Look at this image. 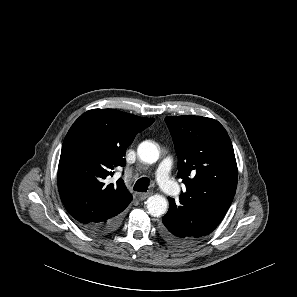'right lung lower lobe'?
I'll list each match as a JSON object with an SVG mask.
<instances>
[{"mask_svg":"<svg viewBox=\"0 0 297 297\" xmlns=\"http://www.w3.org/2000/svg\"><path fill=\"white\" fill-rule=\"evenodd\" d=\"M122 220V213H117L107 217L102 222L92 223L81 226L84 231L93 235H106L110 234L120 226Z\"/></svg>","mask_w":297,"mask_h":297,"instance_id":"right-lung-lower-lobe-1","label":"right lung lower lobe"}]
</instances>
